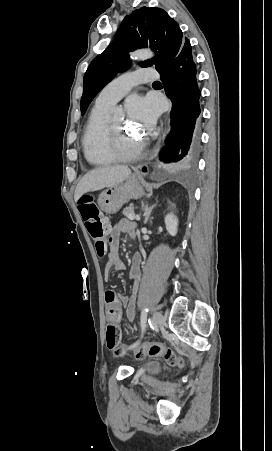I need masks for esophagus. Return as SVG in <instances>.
I'll return each instance as SVG.
<instances>
[{"label":"esophagus","mask_w":272,"mask_h":451,"mask_svg":"<svg viewBox=\"0 0 272 451\" xmlns=\"http://www.w3.org/2000/svg\"><path fill=\"white\" fill-rule=\"evenodd\" d=\"M139 170H140V173H141L142 175L147 174L148 171H149L148 166H147L145 163H143L142 165H140Z\"/></svg>","instance_id":"esophagus-1"}]
</instances>
